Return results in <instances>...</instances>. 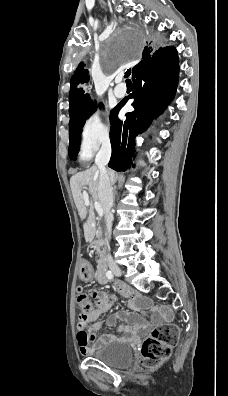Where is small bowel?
Here are the masks:
<instances>
[{"mask_svg": "<svg viewBox=\"0 0 228 396\" xmlns=\"http://www.w3.org/2000/svg\"><path fill=\"white\" fill-rule=\"evenodd\" d=\"M81 273L84 278H88L92 275V267L88 262L85 261L82 263ZM98 281L101 284L107 283L105 273L101 277L98 275ZM116 289L120 295L128 299V306L132 310L140 312L149 308V301L146 298L130 292L121 283H116ZM89 293L95 299L96 309L90 315L89 320L94 321L90 329L86 330L84 327L80 326L78 328L77 341L81 353L87 354L95 346L112 341L124 340L129 336L141 335L147 331L148 324L145 318L136 312L119 311L109 316L106 320L97 321L101 314L108 311L117 302V298L96 289H89ZM117 321L123 322V324L118 326V331L124 333V336L98 335L102 326H111Z\"/></svg>", "mask_w": 228, "mask_h": 396, "instance_id": "obj_1", "label": "small bowel"}]
</instances>
